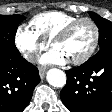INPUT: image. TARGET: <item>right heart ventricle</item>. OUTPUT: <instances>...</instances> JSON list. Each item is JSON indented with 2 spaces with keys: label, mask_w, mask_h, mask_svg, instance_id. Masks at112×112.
<instances>
[{
  "label": "right heart ventricle",
  "mask_w": 112,
  "mask_h": 112,
  "mask_svg": "<svg viewBox=\"0 0 112 112\" xmlns=\"http://www.w3.org/2000/svg\"><path fill=\"white\" fill-rule=\"evenodd\" d=\"M77 19L76 16L61 11H48L34 16L30 21L31 28L46 42L67 24Z\"/></svg>",
  "instance_id": "obj_1"
}]
</instances>
